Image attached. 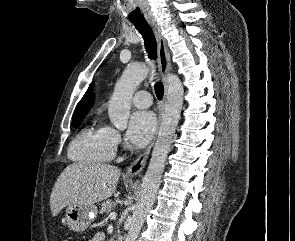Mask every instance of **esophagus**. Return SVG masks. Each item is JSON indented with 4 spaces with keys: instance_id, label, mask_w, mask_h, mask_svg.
I'll return each instance as SVG.
<instances>
[{
    "instance_id": "esophagus-1",
    "label": "esophagus",
    "mask_w": 295,
    "mask_h": 241,
    "mask_svg": "<svg viewBox=\"0 0 295 241\" xmlns=\"http://www.w3.org/2000/svg\"><path fill=\"white\" fill-rule=\"evenodd\" d=\"M147 21L149 25L151 26L157 41L158 62H159V66H160V70H161V74L163 78L164 88H165L163 100L158 106V123L160 124L165 103L168 96V75L172 69V66H171L167 43L165 38L162 35L160 26L157 24V22L154 19L150 18ZM153 145H154V140L144 150V152H142L128 167L125 173L126 177H134L143 171Z\"/></svg>"
}]
</instances>
